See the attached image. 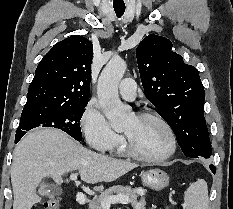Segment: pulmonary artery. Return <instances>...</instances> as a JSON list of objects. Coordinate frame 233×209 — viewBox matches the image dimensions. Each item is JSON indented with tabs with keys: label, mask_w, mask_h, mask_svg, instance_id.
Masks as SVG:
<instances>
[{
	"label": "pulmonary artery",
	"mask_w": 233,
	"mask_h": 209,
	"mask_svg": "<svg viewBox=\"0 0 233 209\" xmlns=\"http://www.w3.org/2000/svg\"><path fill=\"white\" fill-rule=\"evenodd\" d=\"M119 93L126 100H133L136 97V83L132 78H124L119 85Z\"/></svg>",
	"instance_id": "1"
}]
</instances>
